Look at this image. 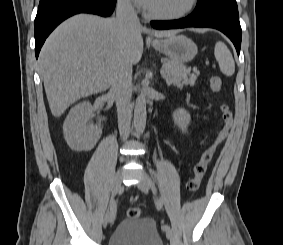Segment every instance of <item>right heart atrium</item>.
I'll return each mask as SVG.
<instances>
[{"instance_id": "d8ad5b80", "label": "right heart atrium", "mask_w": 283, "mask_h": 245, "mask_svg": "<svg viewBox=\"0 0 283 245\" xmlns=\"http://www.w3.org/2000/svg\"><path fill=\"white\" fill-rule=\"evenodd\" d=\"M119 4L123 6L124 8H132V0H118Z\"/></svg>"}]
</instances>
